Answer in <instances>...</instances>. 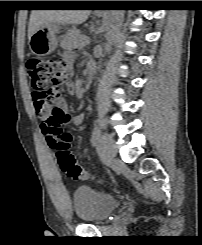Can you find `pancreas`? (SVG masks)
Listing matches in <instances>:
<instances>
[{
  "mask_svg": "<svg viewBox=\"0 0 202 245\" xmlns=\"http://www.w3.org/2000/svg\"><path fill=\"white\" fill-rule=\"evenodd\" d=\"M85 38L79 30L74 29L64 37L60 45L62 48H81L85 46Z\"/></svg>",
  "mask_w": 202,
  "mask_h": 245,
  "instance_id": "obj_1",
  "label": "pancreas"
}]
</instances>
